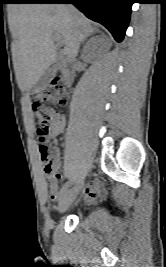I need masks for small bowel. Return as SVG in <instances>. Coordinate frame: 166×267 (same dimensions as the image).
Here are the masks:
<instances>
[{"instance_id": "small-bowel-1", "label": "small bowel", "mask_w": 166, "mask_h": 267, "mask_svg": "<svg viewBox=\"0 0 166 267\" xmlns=\"http://www.w3.org/2000/svg\"><path fill=\"white\" fill-rule=\"evenodd\" d=\"M64 126H65L64 119H60L59 121L52 124L50 128V132H49L50 137L52 139H55L57 136H59L63 132ZM53 166L55 169V174L52 177H47L46 175L45 176H46L47 184L49 186L50 198L55 200L59 196L58 195V178L60 177V175L57 173V171L60 167V155L58 152L54 153ZM101 193H102L101 183L93 182L86 186L84 200L86 202H91L94 199H96Z\"/></svg>"}]
</instances>
